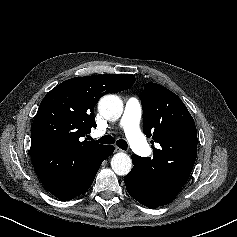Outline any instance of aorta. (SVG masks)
<instances>
[{
  "label": "aorta",
  "instance_id": "aorta-1",
  "mask_svg": "<svg viewBox=\"0 0 237 237\" xmlns=\"http://www.w3.org/2000/svg\"><path fill=\"white\" fill-rule=\"evenodd\" d=\"M98 111L107 120H117L123 112L122 101L116 95L103 96L98 103ZM111 167L117 175L125 176L132 168L131 158L125 153H117L111 159Z\"/></svg>",
  "mask_w": 237,
  "mask_h": 237
}]
</instances>
